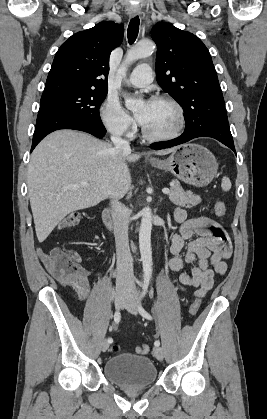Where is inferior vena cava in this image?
<instances>
[{
  "label": "inferior vena cava",
  "mask_w": 267,
  "mask_h": 419,
  "mask_svg": "<svg viewBox=\"0 0 267 419\" xmlns=\"http://www.w3.org/2000/svg\"><path fill=\"white\" fill-rule=\"evenodd\" d=\"M123 131H117L111 136L116 149L130 150L129 142L121 138ZM111 216L114 226V236L117 254L116 289L130 290L134 287L132 257L128 240V215L126 207L114 198L111 203Z\"/></svg>",
  "instance_id": "1"
}]
</instances>
